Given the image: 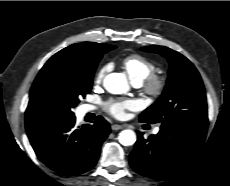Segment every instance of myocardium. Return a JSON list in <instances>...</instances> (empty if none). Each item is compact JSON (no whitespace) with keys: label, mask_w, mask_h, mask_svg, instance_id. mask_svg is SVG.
I'll list each match as a JSON object with an SVG mask.
<instances>
[{"label":"myocardium","mask_w":230,"mask_h":186,"mask_svg":"<svg viewBox=\"0 0 230 186\" xmlns=\"http://www.w3.org/2000/svg\"><path fill=\"white\" fill-rule=\"evenodd\" d=\"M143 91L150 97L160 96L166 87V78L162 74L152 73L142 82Z\"/></svg>","instance_id":"obj_1"}]
</instances>
